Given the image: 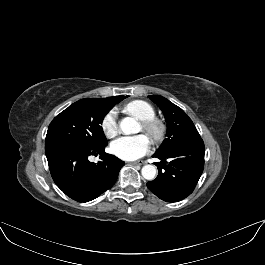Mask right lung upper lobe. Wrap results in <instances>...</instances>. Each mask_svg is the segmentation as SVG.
Here are the masks:
<instances>
[{"label": "right lung upper lobe", "instance_id": "right-lung-upper-lobe-1", "mask_svg": "<svg viewBox=\"0 0 265 265\" xmlns=\"http://www.w3.org/2000/svg\"><path fill=\"white\" fill-rule=\"evenodd\" d=\"M124 98L125 96H114V97L101 98V99L114 106L116 103L122 101Z\"/></svg>", "mask_w": 265, "mask_h": 265}]
</instances>
